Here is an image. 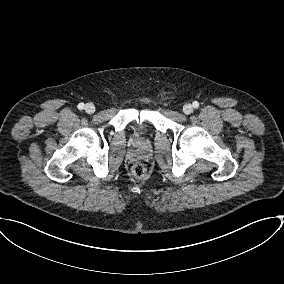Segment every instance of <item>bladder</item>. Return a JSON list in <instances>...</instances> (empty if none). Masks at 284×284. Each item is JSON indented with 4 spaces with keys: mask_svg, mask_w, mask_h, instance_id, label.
Instances as JSON below:
<instances>
[{
    "mask_svg": "<svg viewBox=\"0 0 284 284\" xmlns=\"http://www.w3.org/2000/svg\"><path fill=\"white\" fill-rule=\"evenodd\" d=\"M138 128H139V131H140V130L142 131L143 128H144V126L141 125V126H139Z\"/></svg>",
    "mask_w": 284,
    "mask_h": 284,
    "instance_id": "bladder-1",
    "label": "bladder"
}]
</instances>
